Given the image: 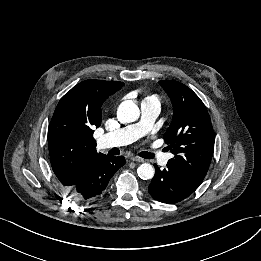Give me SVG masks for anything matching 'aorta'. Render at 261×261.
Masks as SVG:
<instances>
[{"label":"aorta","instance_id":"1","mask_svg":"<svg viewBox=\"0 0 261 261\" xmlns=\"http://www.w3.org/2000/svg\"><path fill=\"white\" fill-rule=\"evenodd\" d=\"M140 116L138 106L131 100L122 102L117 110V117L122 123L135 122ZM138 176L143 180L153 178L155 170L151 164L143 163L137 169Z\"/></svg>","mask_w":261,"mask_h":261}]
</instances>
